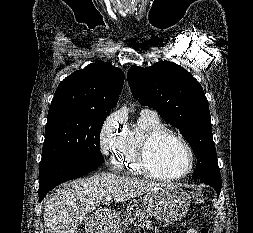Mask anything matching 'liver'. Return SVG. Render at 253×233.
<instances>
[{
    "label": "liver",
    "mask_w": 253,
    "mask_h": 233,
    "mask_svg": "<svg viewBox=\"0 0 253 233\" xmlns=\"http://www.w3.org/2000/svg\"><path fill=\"white\" fill-rule=\"evenodd\" d=\"M165 184L110 172L64 184L47 199L44 208L45 233H77L81 220L108 195L116 202L127 201Z\"/></svg>",
    "instance_id": "obj_1"
}]
</instances>
